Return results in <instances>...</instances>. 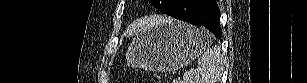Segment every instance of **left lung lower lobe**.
I'll return each mask as SVG.
<instances>
[{
    "instance_id": "1",
    "label": "left lung lower lobe",
    "mask_w": 307,
    "mask_h": 83,
    "mask_svg": "<svg viewBox=\"0 0 307 83\" xmlns=\"http://www.w3.org/2000/svg\"><path fill=\"white\" fill-rule=\"evenodd\" d=\"M166 14L194 25H203L221 39L220 11L216 0H174Z\"/></svg>"
}]
</instances>
